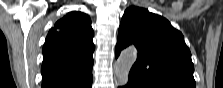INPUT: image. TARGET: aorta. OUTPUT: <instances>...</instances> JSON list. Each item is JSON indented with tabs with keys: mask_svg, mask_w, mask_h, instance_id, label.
Listing matches in <instances>:
<instances>
[{
	"mask_svg": "<svg viewBox=\"0 0 223 88\" xmlns=\"http://www.w3.org/2000/svg\"><path fill=\"white\" fill-rule=\"evenodd\" d=\"M137 59V51L134 47L125 49L115 63V76L118 86H125L128 83L129 72Z\"/></svg>",
	"mask_w": 223,
	"mask_h": 88,
	"instance_id": "obj_1",
	"label": "aorta"
}]
</instances>
